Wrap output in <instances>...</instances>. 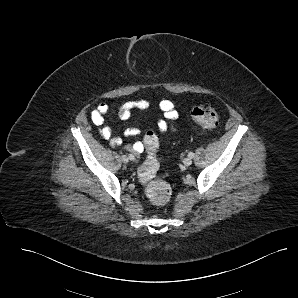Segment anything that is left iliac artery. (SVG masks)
Segmentation results:
<instances>
[{"label": "left iliac artery", "mask_w": 298, "mask_h": 298, "mask_svg": "<svg viewBox=\"0 0 298 298\" xmlns=\"http://www.w3.org/2000/svg\"><path fill=\"white\" fill-rule=\"evenodd\" d=\"M188 156L192 158L194 156V153L193 152H189Z\"/></svg>", "instance_id": "obj_1"}]
</instances>
